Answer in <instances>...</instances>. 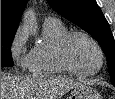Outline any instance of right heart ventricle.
<instances>
[{"instance_id":"obj_1","label":"right heart ventricle","mask_w":115,"mask_h":99,"mask_svg":"<svg viewBox=\"0 0 115 99\" xmlns=\"http://www.w3.org/2000/svg\"><path fill=\"white\" fill-rule=\"evenodd\" d=\"M69 29L57 19H48L43 25L42 43L29 53L27 68L33 75H54L68 72L58 61L56 51L61 38Z\"/></svg>"}]
</instances>
